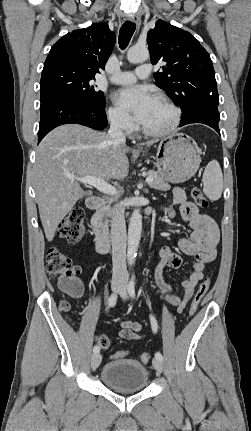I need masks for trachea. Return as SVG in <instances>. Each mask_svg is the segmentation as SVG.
Instances as JSON below:
<instances>
[{
  "label": "trachea",
  "mask_w": 251,
  "mask_h": 431,
  "mask_svg": "<svg viewBox=\"0 0 251 431\" xmlns=\"http://www.w3.org/2000/svg\"><path fill=\"white\" fill-rule=\"evenodd\" d=\"M136 29V24L131 21H126L121 26L119 31V46L121 49H125L133 36Z\"/></svg>",
  "instance_id": "3493384b"
}]
</instances>
